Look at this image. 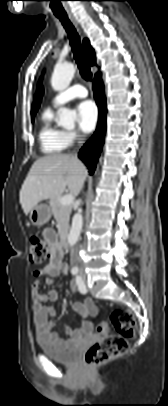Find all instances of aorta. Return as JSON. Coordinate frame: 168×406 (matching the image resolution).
Listing matches in <instances>:
<instances>
[{
  "instance_id": "obj_1",
  "label": "aorta",
  "mask_w": 168,
  "mask_h": 406,
  "mask_svg": "<svg viewBox=\"0 0 168 406\" xmlns=\"http://www.w3.org/2000/svg\"><path fill=\"white\" fill-rule=\"evenodd\" d=\"M75 74V67L72 63H64L58 64L54 68L52 77H51V85L54 90L56 91H63L65 90L71 80L73 79ZM77 114L75 111L67 109V108H60L58 111V125H61L65 128H72L74 126L75 119ZM83 226V218L80 212L76 213L72 220V226L68 235V244L70 246H74L80 236L81 230Z\"/></svg>"
}]
</instances>
